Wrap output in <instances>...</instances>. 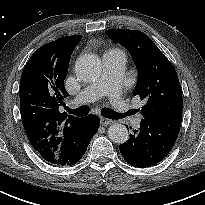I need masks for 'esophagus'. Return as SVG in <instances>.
<instances>
[{"instance_id":"esophagus-1","label":"esophagus","mask_w":205,"mask_h":205,"mask_svg":"<svg viewBox=\"0 0 205 205\" xmlns=\"http://www.w3.org/2000/svg\"><path fill=\"white\" fill-rule=\"evenodd\" d=\"M113 121L108 119V118H105V117H100V123L101 125L103 126H106V125H109L111 124Z\"/></svg>"}]
</instances>
